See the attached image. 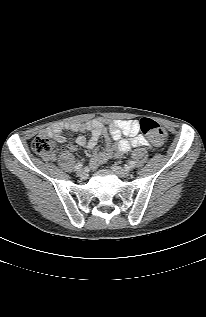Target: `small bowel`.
Instances as JSON below:
<instances>
[{
	"mask_svg": "<svg viewBox=\"0 0 206 317\" xmlns=\"http://www.w3.org/2000/svg\"><path fill=\"white\" fill-rule=\"evenodd\" d=\"M68 128L73 132H90V136L80 135L76 138V144L81 147H86L95 150L99 139L104 136L107 143L108 136L116 141L115 149H106L100 154H96L91 159L92 165H97L107 158L114 156L120 157L134 147H151L149 140L139 134V124L135 120H114L108 123L106 128L105 120L96 118L84 123H72ZM42 134L53 138L57 142H63L66 135L60 127H50L42 132ZM126 136L127 138H125ZM70 151L75 150L74 144H68Z\"/></svg>",
	"mask_w": 206,
	"mask_h": 317,
	"instance_id": "1",
	"label": "small bowel"
}]
</instances>
